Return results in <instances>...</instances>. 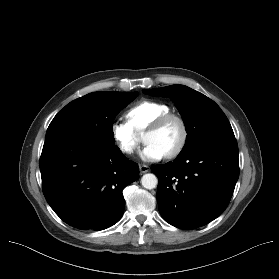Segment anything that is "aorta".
Instances as JSON below:
<instances>
[{"label": "aorta", "instance_id": "1", "mask_svg": "<svg viewBox=\"0 0 279 279\" xmlns=\"http://www.w3.org/2000/svg\"><path fill=\"white\" fill-rule=\"evenodd\" d=\"M141 184L146 189H154L157 187L158 178L152 173L145 174L141 178Z\"/></svg>", "mask_w": 279, "mask_h": 279}]
</instances>
